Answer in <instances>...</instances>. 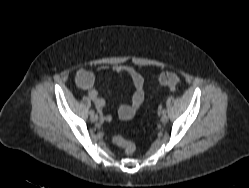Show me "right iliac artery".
Segmentation results:
<instances>
[{"instance_id":"82829eb1","label":"right iliac artery","mask_w":249,"mask_h":188,"mask_svg":"<svg viewBox=\"0 0 249 188\" xmlns=\"http://www.w3.org/2000/svg\"><path fill=\"white\" fill-rule=\"evenodd\" d=\"M93 114H94V110H91V111H90V115H93Z\"/></svg>"}]
</instances>
